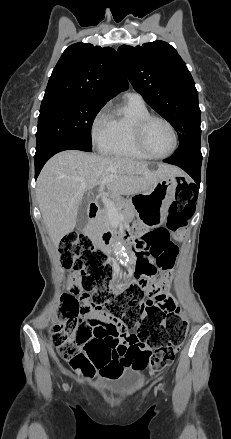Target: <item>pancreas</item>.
<instances>
[{
	"label": "pancreas",
	"mask_w": 231,
	"mask_h": 439,
	"mask_svg": "<svg viewBox=\"0 0 231 439\" xmlns=\"http://www.w3.org/2000/svg\"><path fill=\"white\" fill-rule=\"evenodd\" d=\"M115 207L117 208L119 219L123 222H130L134 215L135 210L132 202L129 199L117 198L114 202ZM101 228H107L111 225V218L109 214V210L105 208L102 210L101 214L98 217Z\"/></svg>",
	"instance_id": "pancreas-1"
}]
</instances>
